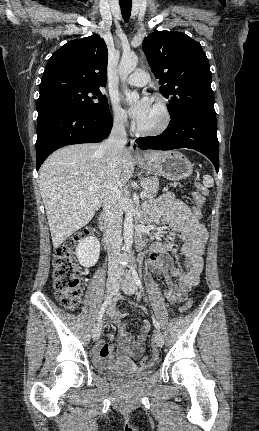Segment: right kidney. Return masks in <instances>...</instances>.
Listing matches in <instances>:
<instances>
[{
	"mask_svg": "<svg viewBox=\"0 0 259 431\" xmlns=\"http://www.w3.org/2000/svg\"><path fill=\"white\" fill-rule=\"evenodd\" d=\"M100 254V243L99 240L90 236L81 240L76 248V256L81 265L84 267L94 266Z\"/></svg>",
	"mask_w": 259,
	"mask_h": 431,
	"instance_id": "right-kidney-1",
	"label": "right kidney"
}]
</instances>
